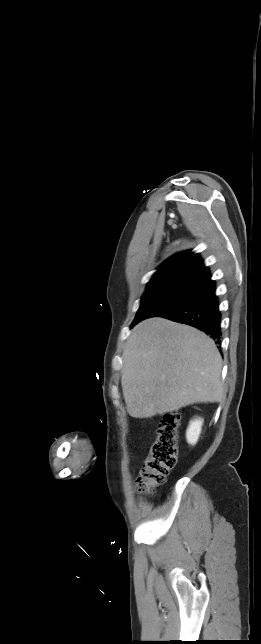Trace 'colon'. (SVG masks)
<instances>
[{"mask_svg": "<svg viewBox=\"0 0 261 644\" xmlns=\"http://www.w3.org/2000/svg\"><path fill=\"white\" fill-rule=\"evenodd\" d=\"M180 420L181 416L177 411L168 412L162 417L156 439L143 461L136 480V491L139 494H150L157 486L163 484L170 470L175 466Z\"/></svg>", "mask_w": 261, "mask_h": 644, "instance_id": "1", "label": "colon"}]
</instances>
